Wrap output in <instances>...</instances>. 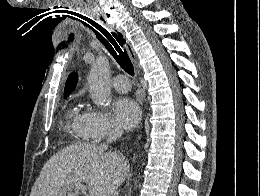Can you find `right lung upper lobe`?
<instances>
[{
	"label": "right lung upper lobe",
	"mask_w": 260,
	"mask_h": 196,
	"mask_svg": "<svg viewBox=\"0 0 260 196\" xmlns=\"http://www.w3.org/2000/svg\"><path fill=\"white\" fill-rule=\"evenodd\" d=\"M77 80H78V78L75 73H72L69 75V77L66 81L65 90H64L65 98L73 91V88L75 87Z\"/></svg>",
	"instance_id": "1"
}]
</instances>
